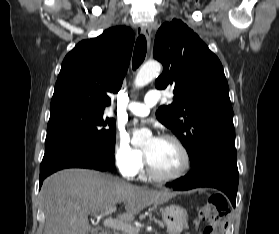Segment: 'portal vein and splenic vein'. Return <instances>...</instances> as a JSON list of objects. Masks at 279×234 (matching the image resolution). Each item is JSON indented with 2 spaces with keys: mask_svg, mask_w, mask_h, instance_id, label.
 Instances as JSON below:
<instances>
[{
  "mask_svg": "<svg viewBox=\"0 0 279 234\" xmlns=\"http://www.w3.org/2000/svg\"><path fill=\"white\" fill-rule=\"evenodd\" d=\"M114 211H116V207L112 206L105 213H102L100 216H103L105 214L113 213ZM103 225L105 227H111V228H114V229L122 230V231L127 232V233L134 231L133 226H131L130 224H128L127 222L122 221V220L107 218V219L104 220Z\"/></svg>",
  "mask_w": 279,
  "mask_h": 234,
  "instance_id": "18ae733b",
  "label": "portal vein and splenic vein"
}]
</instances>
